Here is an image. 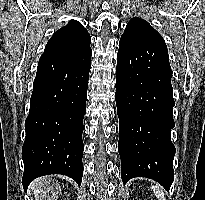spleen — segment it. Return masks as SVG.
Returning a JSON list of instances; mask_svg holds the SVG:
<instances>
[{"instance_id": "3e777b00", "label": "spleen", "mask_w": 205, "mask_h": 200, "mask_svg": "<svg viewBox=\"0 0 205 200\" xmlns=\"http://www.w3.org/2000/svg\"><path fill=\"white\" fill-rule=\"evenodd\" d=\"M154 194L156 195V197L159 199V200H166L165 199V196H164V191L163 189L160 187V186H151Z\"/></svg>"}]
</instances>
